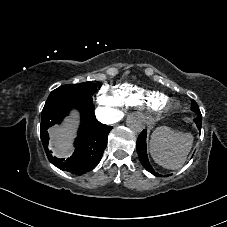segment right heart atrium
<instances>
[{
  "label": "right heart atrium",
  "instance_id": "right-heart-atrium-1",
  "mask_svg": "<svg viewBox=\"0 0 227 227\" xmlns=\"http://www.w3.org/2000/svg\"><path fill=\"white\" fill-rule=\"evenodd\" d=\"M97 102L107 109H115L119 106L107 87L101 88L98 92Z\"/></svg>",
  "mask_w": 227,
  "mask_h": 227
}]
</instances>
